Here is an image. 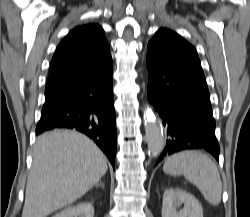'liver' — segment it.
Returning a JSON list of instances; mask_svg holds the SVG:
<instances>
[{"instance_id": "6515ba94", "label": "liver", "mask_w": 250, "mask_h": 217, "mask_svg": "<svg viewBox=\"0 0 250 217\" xmlns=\"http://www.w3.org/2000/svg\"><path fill=\"white\" fill-rule=\"evenodd\" d=\"M107 171L105 155L75 131L38 137L27 178L22 217H46L88 192Z\"/></svg>"}]
</instances>
